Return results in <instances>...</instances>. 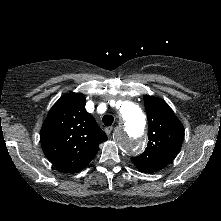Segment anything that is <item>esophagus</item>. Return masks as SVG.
<instances>
[{"label":"esophagus","instance_id":"34e87169","mask_svg":"<svg viewBox=\"0 0 221 221\" xmlns=\"http://www.w3.org/2000/svg\"><path fill=\"white\" fill-rule=\"evenodd\" d=\"M112 131H113V127H106V128H105V133H106L107 135H110Z\"/></svg>","mask_w":221,"mask_h":221}]
</instances>
